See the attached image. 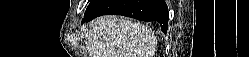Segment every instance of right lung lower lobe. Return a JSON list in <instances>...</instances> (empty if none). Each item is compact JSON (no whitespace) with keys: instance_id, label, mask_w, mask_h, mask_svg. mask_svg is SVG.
Segmentation results:
<instances>
[{"instance_id":"1","label":"right lung lower lobe","mask_w":249,"mask_h":57,"mask_svg":"<svg viewBox=\"0 0 249 57\" xmlns=\"http://www.w3.org/2000/svg\"><path fill=\"white\" fill-rule=\"evenodd\" d=\"M107 14H118L141 21H157L163 32L168 28V8L164 0H92L82 22Z\"/></svg>"}]
</instances>
